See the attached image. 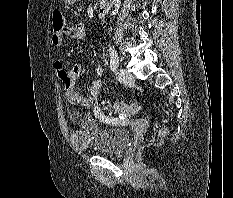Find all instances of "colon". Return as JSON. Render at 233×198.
<instances>
[{
  "mask_svg": "<svg viewBox=\"0 0 233 198\" xmlns=\"http://www.w3.org/2000/svg\"><path fill=\"white\" fill-rule=\"evenodd\" d=\"M66 19L64 14L55 9L52 12V26L53 32H60L65 28ZM107 109L112 113L119 115L122 118L133 116L137 114L140 110V104L137 101L132 102H111L107 104ZM168 134V128L162 127L159 129L157 135L159 137L165 136Z\"/></svg>",
  "mask_w": 233,
  "mask_h": 198,
  "instance_id": "5ec220e1",
  "label": "colon"
}]
</instances>
